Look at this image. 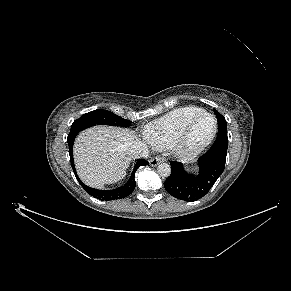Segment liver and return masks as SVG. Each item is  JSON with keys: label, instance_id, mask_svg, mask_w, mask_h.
Masks as SVG:
<instances>
[{"label": "liver", "instance_id": "obj_1", "mask_svg": "<svg viewBox=\"0 0 291 291\" xmlns=\"http://www.w3.org/2000/svg\"><path fill=\"white\" fill-rule=\"evenodd\" d=\"M137 141L133 131L94 126L81 132L74 144L75 165L88 186L103 188L124 178L131 162L130 143Z\"/></svg>", "mask_w": 291, "mask_h": 291}]
</instances>
